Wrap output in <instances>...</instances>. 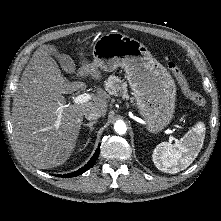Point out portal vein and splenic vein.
Returning <instances> with one entry per match:
<instances>
[{"label": "portal vein and splenic vein", "instance_id": "portal-vein-and-splenic-vein-1", "mask_svg": "<svg viewBox=\"0 0 221 221\" xmlns=\"http://www.w3.org/2000/svg\"><path fill=\"white\" fill-rule=\"evenodd\" d=\"M90 100H92V95H90V94H88V93H84V94H80V95H78V96H76L74 99H73V102L75 103V104H82V103H85V102H88V101H90ZM62 108L63 107H61L60 109H59V119L61 118V113H62ZM168 132L170 133V134H172V131L171 130H168ZM174 140V137L173 136H170V141H173ZM177 141V140H176Z\"/></svg>", "mask_w": 221, "mask_h": 221}]
</instances>
